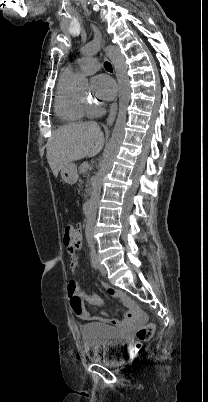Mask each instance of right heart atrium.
I'll use <instances>...</instances> for the list:
<instances>
[{"instance_id": "obj_1", "label": "right heart atrium", "mask_w": 208, "mask_h": 402, "mask_svg": "<svg viewBox=\"0 0 208 402\" xmlns=\"http://www.w3.org/2000/svg\"><path fill=\"white\" fill-rule=\"evenodd\" d=\"M89 118H95L101 113V107L99 105L85 104Z\"/></svg>"}]
</instances>
